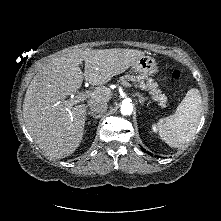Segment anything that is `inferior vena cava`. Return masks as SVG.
I'll return each instance as SVG.
<instances>
[{
	"label": "inferior vena cava",
	"instance_id": "1",
	"mask_svg": "<svg viewBox=\"0 0 221 221\" xmlns=\"http://www.w3.org/2000/svg\"><path fill=\"white\" fill-rule=\"evenodd\" d=\"M108 104L106 101L97 100L90 104L91 113L96 115H102L106 112Z\"/></svg>",
	"mask_w": 221,
	"mask_h": 221
}]
</instances>
